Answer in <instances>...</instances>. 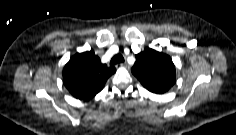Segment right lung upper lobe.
<instances>
[{"instance_id": "1", "label": "right lung upper lobe", "mask_w": 236, "mask_h": 135, "mask_svg": "<svg viewBox=\"0 0 236 135\" xmlns=\"http://www.w3.org/2000/svg\"><path fill=\"white\" fill-rule=\"evenodd\" d=\"M115 72L114 67L102 64L91 50L70 58L63 69V82L75 98L89 100L104 88L107 79Z\"/></svg>"}]
</instances>
